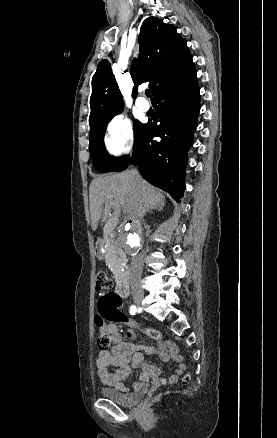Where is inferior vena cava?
I'll use <instances>...</instances> for the list:
<instances>
[{
  "label": "inferior vena cava",
  "mask_w": 277,
  "mask_h": 438,
  "mask_svg": "<svg viewBox=\"0 0 277 438\" xmlns=\"http://www.w3.org/2000/svg\"><path fill=\"white\" fill-rule=\"evenodd\" d=\"M128 174H130L131 186H133V188H135V186H138V184L141 180V176H140L138 170H129ZM131 264H132V274H131V278H130L131 290H142L141 276H142L143 260H139V258H136V256H133Z\"/></svg>",
  "instance_id": "1"
}]
</instances>
